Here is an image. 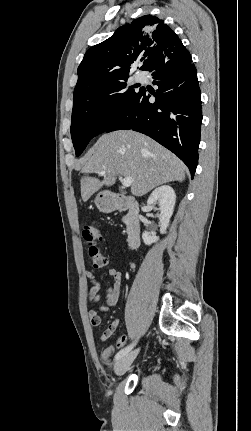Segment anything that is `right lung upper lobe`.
<instances>
[{
    "label": "right lung upper lobe",
    "instance_id": "cb5924a9",
    "mask_svg": "<svg viewBox=\"0 0 251 431\" xmlns=\"http://www.w3.org/2000/svg\"><path fill=\"white\" fill-rule=\"evenodd\" d=\"M180 45L178 36L163 20L152 15L137 18L85 53L77 70L78 81L73 95L128 76L138 59L143 61L140 69L146 70L166 50Z\"/></svg>",
    "mask_w": 251,
    "mask_h": 431
}]
</instances>
